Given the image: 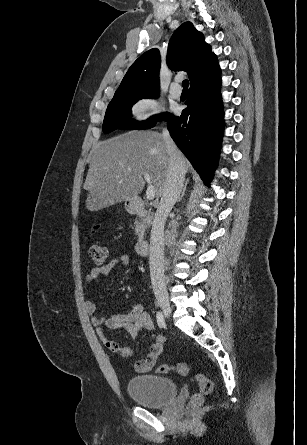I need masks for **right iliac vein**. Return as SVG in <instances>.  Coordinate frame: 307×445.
<instances>
[{"label":"right iliac vein","mask_w":307,"mask_h":445,"mask_svg":"<svg viewBox=\"0 0 307 445\" xmlns=\"http://www.w3.org/2000/svg\"><path fill=\"white\" fill-rule=\"evenodd\" d=\"M158 304H159L160 308L162 309L165 317H169L171 314V307H170L169 301L165 298H160L158 300Z\"/></svg>","instance_id":"right-iliac-vein-1"}]
</instances>
